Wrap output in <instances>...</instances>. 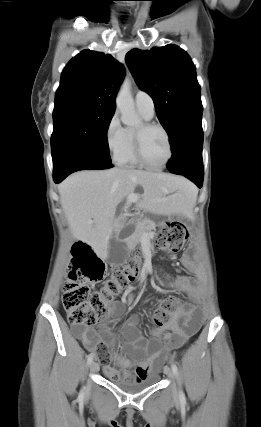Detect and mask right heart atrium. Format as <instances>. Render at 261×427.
Listing matches in <instances>:
<instances>
[{
	"label": "right heart atrium",
	"instance_id": "obj_1",
	"mask_svg": "<svg viewBox=\"0 0 261 427\" xmlns=\"http://www.w3.org/2000/svg\"><path fill=\"white\" fill-rule=\"evenodd\" d=\"M105 143L111 156L117 160L125 147V128L122 127L118 114L113 113L108 120L105 131Z\"/></svg>",
	"mask_w": 261,
	"mask_h": 427
}]
</instances>
